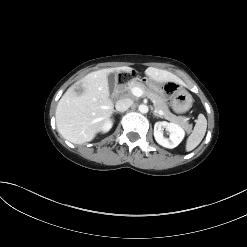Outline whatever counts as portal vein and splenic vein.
Listing matches in <instances>:
<instances>
[{
    "label": "portal vein and splenic vein",
    "mask_w": 247,
    "mask_h": 247,
    "mask_svg": "<svg viewBox=\"0 0 247 247\" xmlns=\"http://www.w3.org/2000/svg\"><path fill=\"white\" fill-rule=\"evenodd\" d=\"M131 92H132V94H133L134 96H136V97H140V96H142V95L144 94L143 90H142L141 88H139V87H134V88H132V89H131ZM158 113H159L160 115L163 114L162 111H158Z\"/></svg>",
    "instance_id": "1"
}]
</instances>
